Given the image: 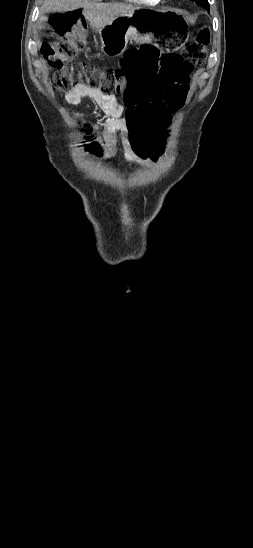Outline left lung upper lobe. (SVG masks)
I'll use <instances>...</instances> for the list:
<instances>
[{"mask_svg":"<svg viewBox=\"0 0 253 548\" xmlns=\"http://www.w3.org/2000/svg\"><path fill=\"white\" fill-rule=\"evenodd\" d=\"M193 1H195V2H203V3L208 2L207 0H193Z\"/></svg>","mask_w":253,"mask_h":548,"instance_id":"left-lung-upper-lobe-1","label":"left lung upper lobe"}]
</instances>
